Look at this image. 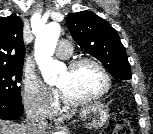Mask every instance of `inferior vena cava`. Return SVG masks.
Returning a JSON list of instances; mask_svg holds the SVG:
<instances>
[{"label":"inferior vena cava","instance_id":"inferior-vena-cava-1","mask_svg":"<svg viewBox=\"0 0 153 134\" xmlns=\"http://www.w3.org/2000/svg\"><path fill=\"white\" fill-rule=\"evenodd\" d=\"M26 120L27 134H44L46 122L43 117L27 109Z\"/></svg>","mask_w":153,"mask_h":134}]
</instances>
